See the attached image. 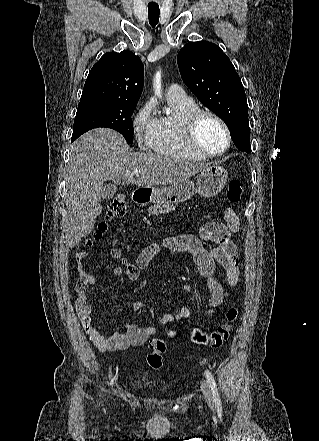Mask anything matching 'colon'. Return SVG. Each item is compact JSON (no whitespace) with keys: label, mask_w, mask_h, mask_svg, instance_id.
<instances>
[{"label":"colon","mask_w":319,"mask_h":441,"mask_svg":"<svg viewBox=\"0 0 319 441\" xmlns=\"http://www.w3.org/2000/svg\"><path fill=\"white\" fill-rule=\"evenodd\" d=\"M244 188L240 181L231 180L228 183L227 199L231 203H238L244 196ZM126 211V202L122 195H116L112 198L107 208V219L112 220L124 215ZM108 223L103 222L95 234L94 239L98 240L107 231ZM237 317L236 309H229L226 315V322L216 327L210 333H202L200 330L193 332V342L198 345L208 346L216 349L222 347L229 339L232 323ZM151 353L147 356L148 365L157 370L163 365V354L166 351L165 342L158 337L149 340Z\"/></svg>","instance_id":"colon-1"}]
</instances>
